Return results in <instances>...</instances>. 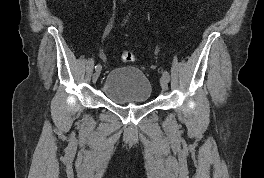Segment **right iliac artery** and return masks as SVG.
I'll use <instances>...</instances> for the list:
<instances>
[{"instance_id": "82829eb1", "label": "right iliac artery", "mask_w": 264, "mask_h": 178, "mask_svg": "<svg viewBox=\"0 0 264 178\" xmlns=\"http://www.w3.org/2000/svg\"><path fill=\"white\" fill-rule=\"evenodd\" d=\"M95 69H96V71H101L102 66H101L100 64H97V65L95 66Z\"/></svg>"}]
</instances>
